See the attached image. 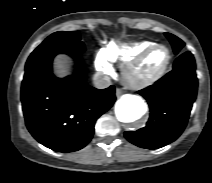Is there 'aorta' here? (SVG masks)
<instances>
[{"instance_id": "obj_1", "label": "aorta", "mask_w": 212, "mask_h": 183, "mask_svg": "<svg viewBox=\"0 0 212 183\" xmlns=\"http://www.w3.org/2000/svg\"><path fill=\"white\" fill-rule=\"evenodd\" d=\"M147 111V105L137 95H123L115 105V114L119 121L132 123L139 120Z\"/></svg>"}]
</instances>
